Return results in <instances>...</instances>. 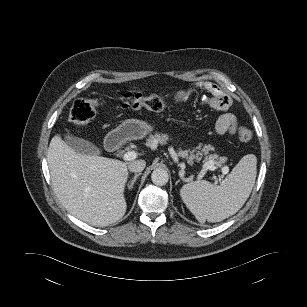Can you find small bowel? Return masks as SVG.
<instances>
[{"instance_id": "1", "label": "small bowel", "mask_w": 307, "mask_h": 307, "mask_svg": "<svg viewBox=\"0 0 307 307\" xmlns=\"http://www.w3.org/2000/svg\"><path fill=\"white\" fill-rule=\"evenodd\" d=\"M195 89L203 90L209 94V96L205 97L204 101L210 107L216 110H227L230 107V98L223 93L218 85L210 81H200L194 87L178 90L174 95V101L176 103L186 102ZM236 126V117L231 113H224L216 122L215 132L219 136L233 134Z\"/></svg>"}]
</instances>
